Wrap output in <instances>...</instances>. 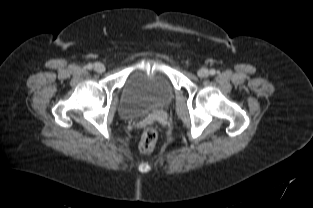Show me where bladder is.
<instances>
[{
    "label": "bladder",
    "mask_w": 313,
    "mask_h": 208,
    "mask_svg": "<svg viewBox=\"0 0 313 208\" xmlns=\"http://www.w3.org/2000/svg\"><path fill=\"white\" fill-rule=\"evenodd\" d=\"M173 95V85L165 75L136 70L124 84L118 112L124 117L139 116L166 106Z\"/></svg>",
    "instance_id": "bladder-1"
}]
</instances>
